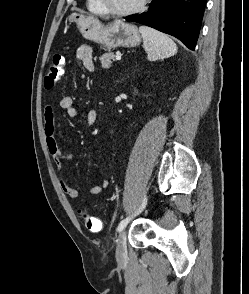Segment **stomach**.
<instances>
[{"label": "stomach", "mask_w": 249, "mask_h": 294, "mask_svg": "<svg viewBox=\"0 0 249 294\" xmlns=\"http://www.w3.org/2000/svg\"><path fill=\"white\" fill-rule=\"evenodd\" d=\"M70 22H75L81 34L88 40L98 43L106 49L117 47H134L141 42V35L137 26L115 20L103 25L92 16L71 14Z\"/></svg>", "instance_id": "0dacf381"}]
</instances>
